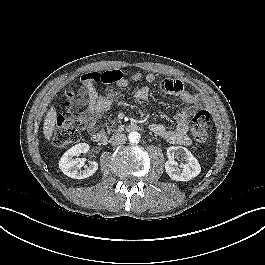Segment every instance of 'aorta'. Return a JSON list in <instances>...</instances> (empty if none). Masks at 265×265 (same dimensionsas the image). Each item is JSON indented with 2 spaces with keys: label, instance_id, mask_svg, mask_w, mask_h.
I'll return each mask as SVG.
<instances>
[{
  "label": "aorta",
  "instance_id": "762f6f07",
  "mask_svg": "<svg viewBox=\"0 0 265 265\" xmlns=\"http://www.w3.org/2000/svg\"><path fill=\"white\" fill-rule=\"evenodd\" d=\"M140 134L136 131L130 132L128 135V139L130 143L137 144L140 141Z\"/></svg>",
  "mask_w": 265,
  "mask_h": 265
}]
</instances>
